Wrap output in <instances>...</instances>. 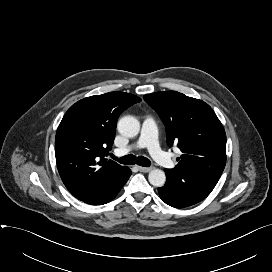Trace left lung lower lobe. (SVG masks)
Returning <instances> with one entry per match:
<instances>
[{
	"instance_id": "left-lung-lower-lobe-1",
	"label": "left lung lower lobe",
	"mask_w": 272,
	"mask_h": 272,
	"mask_svg": "<svg viewBox=\"0 0 272 272\" xmlns=\"http://www.w3.org/2000/svg\"><path fill=\"white\" fill-rule=\"evenodd\" d=\"M167 181L158 188L160 198L175 208L194 205L205 199L220 177L206 176L192 171L165 169Z\"/></svg>"
}]
</instances>
